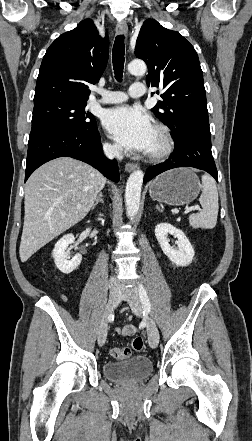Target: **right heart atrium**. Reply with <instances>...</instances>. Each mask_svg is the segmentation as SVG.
I'll list each match as a JSON object with an SVG mask.
<instances>
[{
	"mask_svg": "<svg viewBox=\"0 0 252 441\" xmlns=\"http://www.w3.org/2000/svg\"><path fill=\"white\" fill-rule=\"evenodd\" d=\"M104 150L107 154L112 156H118L120 154V148L112 143L105 142L104 143Z\"/></svg>",
	"mask_w": 252,
	"mask_h": 441,
	"instance_id": "1",
	"label": "right heart atrium"
}]
</instances>
